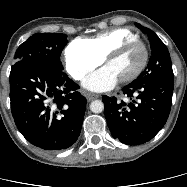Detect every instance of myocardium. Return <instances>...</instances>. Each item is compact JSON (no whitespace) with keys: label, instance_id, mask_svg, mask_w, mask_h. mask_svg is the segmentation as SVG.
Wrapping results in <instances>:
<instances>
[{"label":"myocardium","instance_id":"f54148a6","mask_svg":"<svg viewBox=\"0 0 187 187\" xmlns=\"http://www.w3.org/2000/svg\"><path fill=\"white\" fill-rule=\"evenodd\" d=\"M134 45H141L143 47L144 58H143V61L140 64V66L132 74L120 79V81L122 83L131 82V81L137 79L143 73V71L145 70V68L148 65L149 57H150L148 45L143 40H141L140 38L128 40V41H125V42L119 44L118 46H116L112 50H110L104 57V61L107 64L109 60H111L113 58H116V57H119L128 48H130Z\"/></svg>","mask_w":187,"mask_h":187}]
</instances>
